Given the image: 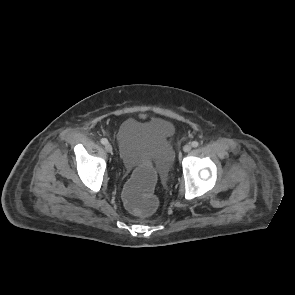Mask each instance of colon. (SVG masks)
<instances>
[{"instance_id":"obj_1","label":"colon","mask_w":295,"mask_h":295,"mask_svg":"<svg viewBox=\"0 0 295 295\" xmlns=\"http://www.w3.org/2000/svg\"><path fill=\"white\" fill-rule=\"evenodd\" d=\"M156 180V172L150 166L142 165L135 169L132 181L126 184L122 191L123 199L130 212L143 218L155 214L158 203L148 189L154 186Z\"/></svg>"}]
</instances>
